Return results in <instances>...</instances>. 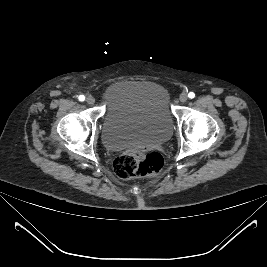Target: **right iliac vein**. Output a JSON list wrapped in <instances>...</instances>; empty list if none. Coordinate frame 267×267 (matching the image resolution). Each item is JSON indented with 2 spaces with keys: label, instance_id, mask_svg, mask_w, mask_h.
<instances>
[{
  "label": "right iliac vein",
  "instance_id": "1",
  "mask_svg": "<svg viewBox=\"0 0 267 267\" xmlns=\"http://www.w3.org/2000/svg\"><path fill=\"white\" fill-rule=\"evenodd\" d=\"M86 102H87V104H89V105H93V104L95 103V99H94V97H92V96H88V97L86 98Z\"/></svg>",
  "mask_w": 267,
  "mask_h": 267
}]
</instances>
